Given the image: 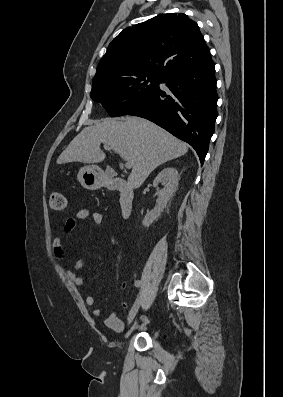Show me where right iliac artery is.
<instances>
[{
    "label": "right iliac artery",
    "mask_w": 283,
    "mask_h": 397,
    "mask_svg": "<svg viewBox=\"0 0 283 397\" xmlns=\"http://www.w3.org/2000/svg\"><path fill=\"white\" fill-rule=\"evenodd\" d=\"M136 286L139 287V286H140V282H137V283H136Z\"/></svg>",
    "instance_id": "obj_1"
}]
</instances>
